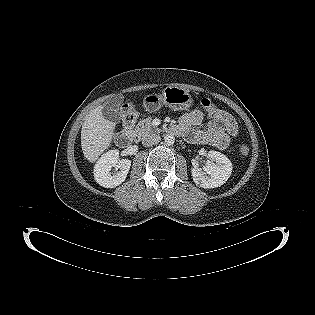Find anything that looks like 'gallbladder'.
<instances>
[{"mask_svg": "<svg viewBox=\"0 0 315 315\" xmlns=\"http://www.w3.org/2000/svg\"><path fill=\"white\" fill-rule=\"evenodd\" d=\"M117 102L110 101L105 107L103 108V116L113 122H120V116L117 111V107L115 106Z\"/></svg>", "mask_w": 315, "mask_h": 315, "instance_id": "obj_1", "label": "gallbladder"}]
</instances>
